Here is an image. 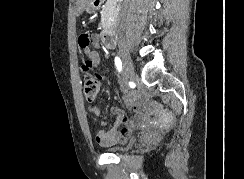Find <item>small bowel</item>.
<instances>
[{
	"instance_id": "1",
	"label": "small bowel",
	"mask_w": 244,
	"mask_h": 179,
	"mask_svg": "<svg viewBox=\"0 0 244 179\" xmlns=\"http://www.w3.org/2000/svg\"><path fill=\"white\" fill-rule=\"evenodd\" d=\"M79 47L87 58L82 65V70L88 72L99 69L101 57L98 49L102 47L101 36L97 33H84L79 38ZM101 78L106 79L107 75L104 74ZM125 101L133 108L135 116L132 119H128L121 110L117 108L111 109V113L114 114L115 119L108 125L106 130L100 131L97 134V142L100 145L111 147L121 143L132 129L140 124L143 113L141 103L131 96H127ZM88 111L93 116L100 117V110L97 106H88ZM100 124L105 126L108 123L104 118H100Z\"/></svg>"
}]
</instances>
